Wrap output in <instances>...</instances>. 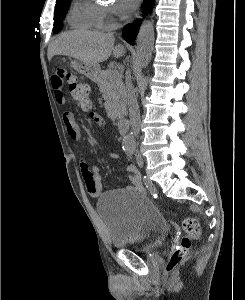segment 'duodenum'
<instances>
[{"label":"duodenum","mask_w":245,"mask_h":300,"mask_svg":"<svg viewBox=\"0 0 245 300\" xmlns=\"http://www.w3.org/2000/svg\"><path fill=\"white\" fill-rule=\"evenodd\" d=\"M118 129L121 134H126L128 131V120L126 118H119L117 121Z\"/></svg>","instance_id":"410a0bca"}]
</instances>
